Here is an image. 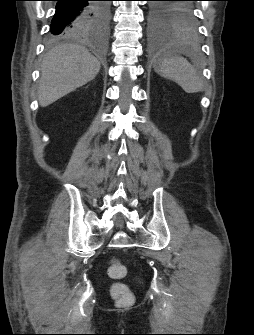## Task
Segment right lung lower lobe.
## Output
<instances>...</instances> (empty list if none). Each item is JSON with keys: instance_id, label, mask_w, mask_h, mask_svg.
<instances>
[{"instance_id": "1", "label": "right lung lower lobe", "mask_w": 254, "mask_h": 335, "mask_svg": "<svg viewBox=\"0 0 254 335\" xmlns=\"http://www.w3.org/2000/svg\"><path fill=\"white\" fill-rule=\"evenodd\" d=\"M56 11L50 25V36L79 31L91 33V25L98 18V0H55Z\"/></svg>"}]
</instances>
